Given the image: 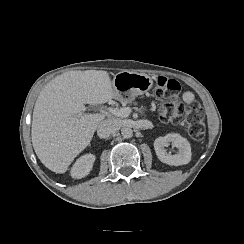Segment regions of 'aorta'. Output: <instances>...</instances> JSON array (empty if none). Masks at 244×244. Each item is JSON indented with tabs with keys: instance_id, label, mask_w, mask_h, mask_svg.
<instances>
[{
	"instance_id": "762f6f07",
	"label": "aorta",
	"mask_w": 244,
	"mask_h": 244,
	"mask_svg": "<svg viewBox=\"0 0 244 244\" xmlns=\"http://www.w3.org/2000/svg\"><path fill=\"white\" fill-rule=\"evenodd\" d=\"M121 134L124 138H131L133 136V130L130 127H123Z\"/></svg>"
}]
</instances>
